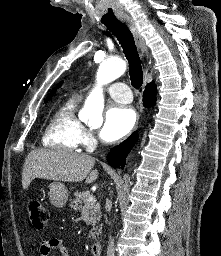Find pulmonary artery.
I'll return each instance as SVG.
<instances>
[{"mask_svg": "<svg viewBox=\"0 0 221 256\" xmlns=\"http://www.w3.org/2000/svg\"><path fill=\"white\" fill-rule=\"evenodd\" d=\"M106 91L115 101L127 104L132 100L131 91L125 83L115 82L108 86Z\"/></svg>", "mask_w": 221, "mask_h": 256, "instance_id": "1", "label": "pulmonary artery"}]
</instances>
